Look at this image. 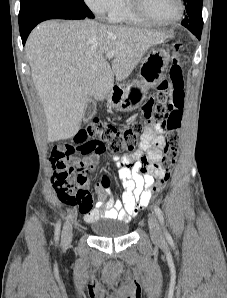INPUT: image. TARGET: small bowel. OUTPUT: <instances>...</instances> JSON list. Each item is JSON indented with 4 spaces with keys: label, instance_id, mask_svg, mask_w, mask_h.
<instances>
[{
    "label": "small bowel",
    "instance_id": "c3829d8e",
    "mask_svg": "<svg viewBox=\"0 0 227 298\" xmlns=\"http://www.w3.org/2000/svg\"><path fill=\"white\" fill-rule=\"evenodd\" d=\"M156 87H159V92H169V82L165 78H160ZM146 103H157V98H146ZM157 111L155 104H141V115H154ZM165 132L166 125L148 126L141 136L138 151L113 158L123 188L120 198H115L108 188L100 189L98 202L93 205L91 183L84 174L88 167L96 165V158L107 151L110 142H64L63 146H53L49 154L54 169L53 185L57 191L76 187L81 196L71 206L83 214L87 223L100 218L129 222L149 203L152 194L148 192V187L163 174L160 160ZM82 155L86 156L81 160L76 159ZM74 171L79 173L77 177L72 175Z\"/></svg>",
    "mask_w": 227,
    "mask_h": 298
}]
</instances>
